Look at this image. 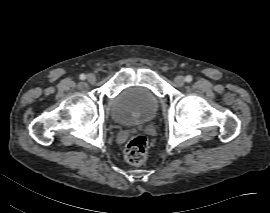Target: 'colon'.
I'll return each mask as SVG.
<instances>
[{"instance_id":"1","label":"colon","mask_w":270,"mask_h":213,"mask_svg":"<svg viewBox=\"0 0 270 213\" xmlns=\"http://www.w3.org/2000/svg\"><path fill=\"white\" fill-rule=\"evenodd\" d=\"M149 140L145 135L132 136L124 149V159L131 165H139L146 159Z\"/></svg>"}]
</instances>
